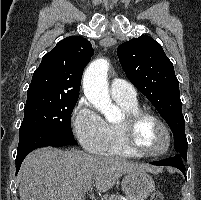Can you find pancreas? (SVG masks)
<instances>
[{"instance_id": "obj_1", "label": "pancreas", "mask_w": 201, "mask_h": 200, "mask_svg": "<svg viewBox=\"0 0 201 200\" xmlns=\"http://www.w3.org/2000/svg\"><path fill=\"white\" fill-rule=\"evenodd\" d=\"M104 200H122V198L119 195H110V196L104 197Z\"/></svg>"}]
</instances>
